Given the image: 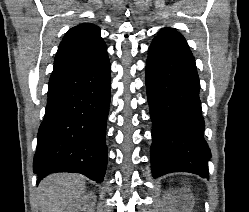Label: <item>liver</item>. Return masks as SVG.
<instances>
[{"instance_id": "obj_1", "label": "liver", "mask_w": 249, "mask_h": 212, "mask_svg": "<svg viewBox=\"0 0 249 212\" xmlns=\"http://www.w3.org/2000/svg\"><path fill=\"white\" fill-rule=\"evenodd\" d=\"M84 176L79 174H51L38 186V200L41 212H63L79 210L75 204L86 188Z\"/></svg>"}]
</instances>
